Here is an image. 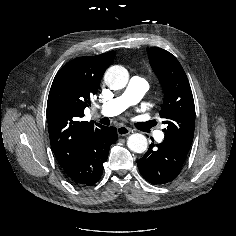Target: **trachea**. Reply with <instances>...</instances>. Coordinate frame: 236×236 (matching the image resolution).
<instances>
[{
  "instance_id": "obj_1",
  "label": "trachea",
  "mask_w": 236,
  "mask_h": 236,
  "mask_svg": "<svg viewBox=\"0 0 236 236\" xmlns=\"http://www.w3.org/2000/svg\"><path fill=\"white\" fill-rule=\"evenodd\" d=\"M100 122L104 125H109L110 124V120L107 117H104L100 120Z\"/></svg>"
}]
</instances>
